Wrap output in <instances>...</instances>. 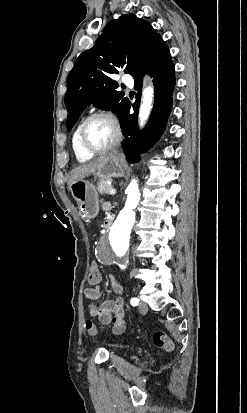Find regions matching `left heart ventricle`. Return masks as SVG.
<instances>
[{"instance_id": "obj_1", "label": "left heart ventricle", "mask_w": 247, "mask_h": 413, "mask_svg": "<svg viewBox=\"0 0 247 413\" xmlns=\"http://www.w3.org/2000/svg\"><path fill=\"white\" fill-rule=\"evenodd\" d=\"M115 135L114 125L107 119H95L86 127L84 140L91 147H102L108 144Z\"/></svg>"}]
</instances>
